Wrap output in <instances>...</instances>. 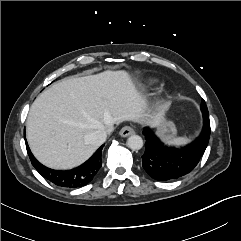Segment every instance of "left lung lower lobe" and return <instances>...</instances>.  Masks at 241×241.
Listing matches in <instances>:
<instances>
[{"label":"left lung lower lobe","instance_id":"0a47b994","mask_svg":"<svg viewBox=\"0 0 241 241\" xmlns=\"http://www.w3.org/2000/svg\"><path fill=\"white\" fill-rule=\"evenodd\" d=\"M202 134L192 144L183 148L164 145L149 128H145V153L142 166L150 177L159 181L178 179L190 173L198 164L209 142V114L203 116Z\"/></svg>","mask_w":241,"mask_h":241}]
</instances>
